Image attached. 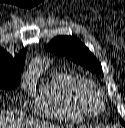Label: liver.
Listing matches in <instances>:
<instances>
[{"mask_svg": "<svg viewBox=\"0 0 125 128\" xmlns=\"http://www.w3.org/2000/svg\"><path fill=\"white\" fill-rule=\"evenodd\" d=\"M9 123H11V120L8 117H4L2 114H0V128H5ZM34 126L36 128H59L58 126L55 127L45 123H36Z\"/></svg>", "mask_w": 125, "mask_h": 128, "instance_id": "1", "label": "liver"}]
</instances>
